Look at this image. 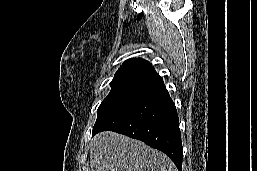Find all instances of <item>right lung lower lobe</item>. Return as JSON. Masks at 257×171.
<instances>
[{
    "label": "right lung lower lobe",
    "instance_id": "98d812e1",
    "mask_svg": "<svg viewBox=\"0 0 257 171\" xmlns=\"http://www.w3.org/2000/svg\"><path fill=\"white\" fill-rule=\"evenodd\" d=\"M107 130L141 140L164 152L177 169L182 171L183 147L179 118L163 82L146 90L119 109L93 130L92 136Z\"/></svg>",
    "mask_w": 257,
    "mask_h": 171
}]
</instances>
